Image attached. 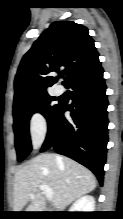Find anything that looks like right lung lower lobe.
Instances as JSON below:
<instances>
[{"label": "right lung lower lobe", "instance_id": "right-lung-lower-lobe-1", "mask_svg": "<svg viewBox=\"0 0 123 219\" xmlns=\"http://www.w3.org/2000/svg\"><path fill=\"white\" fill-rule=\"evenodd\" d=\"M65 87L72 89V103H59L48 123L41 152L53 147L57 153L89 168L102 184L108 142V101L98 57L70 77ZM65 111L71 112V119L64 117Z\"/></svg>", "mask_w": 123, "mask_h": 219}]
</instances>
